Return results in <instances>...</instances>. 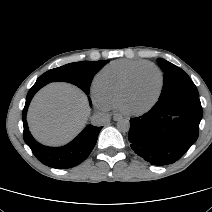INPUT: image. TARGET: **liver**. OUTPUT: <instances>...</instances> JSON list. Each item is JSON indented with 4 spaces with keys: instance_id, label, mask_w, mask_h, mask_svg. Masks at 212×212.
Instances as JSON below:
<instances>
[{
    "instance_id": "obj_1",
    "label": "liver",
    "mask_w": 212,
    "mask_h": 212,
    "mask_svg": "<svg viewBox=\"0 0 212 212\" xmlns=\"http://www.w3.org/2000/svg\"><path fill=\"white\" fill-rule=\"evenodd\" d=\"M89 114L81 90L67 83H51L32 100L28 122L37 140L48 145H60L81 131Z\"/></svg>"
}]
</instances>
